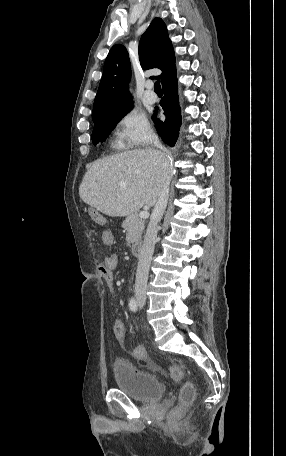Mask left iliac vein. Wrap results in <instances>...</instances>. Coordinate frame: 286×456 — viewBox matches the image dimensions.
Returning <instances> with one entry per match:
<instances>
[{"mask_svg": "<svg viewBox=\"0 0 286 456\" xmlns=\"http://www.w3.org/2000/svg\"><path fill=\"white\" fill-rule=\"evenodd\" d=\"M144 303H139V307L142 308Z\"/></svg>", "mask_w": 286, "mask_h": 456, "instance_id": "left-iliac-vein-1", "label": "left iliac vein"}]
</instances>
